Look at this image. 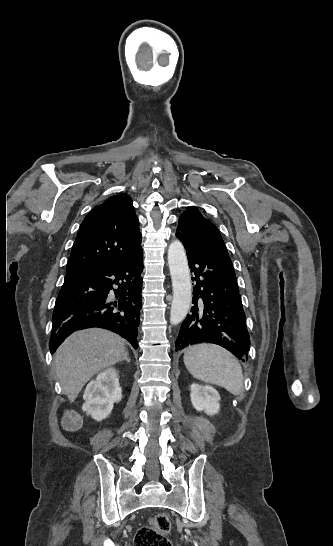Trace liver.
Returning <instances> with one entry per match:
<instances>
[{
    "instance_id": "liver-1",
    "label": "liver",
    "mask_w": 333,
    "mask_h": 546,
    "mask_svg": "<svg viewBox=\"0 0 333 546\" xmlns=\"http://www.w3.org/2000/svg\"><path fill=\"white\" fill-rule=\"evenodd\" d=\"M125 350L119 336L103 329L73 333L55 353V371L62 392L73 402L95 374L121 361Z\"/></svg>"
}]
</instances>
